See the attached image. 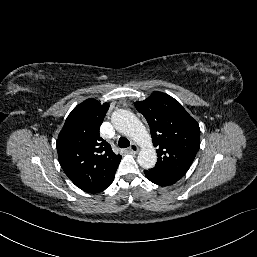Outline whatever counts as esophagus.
Instances as JSON below:
<instances>
[{
    "label": "esophagus",
    "mask_w": 257,
    "mask_h": 257,
    "mask_svg": "<svg viewBox=\"0 0 257 257\" xmlns=\"http://www.w3.org/2000/svg\"><path fill=\"white\" fill-rule=\"evenodd\" d=\"M139 151V147L135 144L132 143L131 146L129 147V152L132 154H136Z\"/></svg>",
    "instance_id": "esophagus-1"
}]
</instances>
